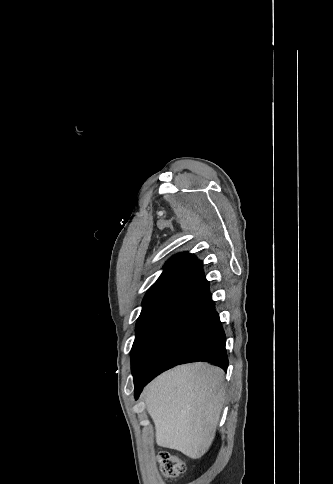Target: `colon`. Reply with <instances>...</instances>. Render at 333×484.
Returning a JSON list of instances; mask_svg holds the SVG:
<instances>
[{"mask_svg": "<svg viewBox=\"0 0 333 484\" xmlns=\"http://www.w3.org/2000/svg\"><path fill=\"white\" fill-rule=\"evenodd\" d=\"M158 462L165 477H178L185 472L186 465L182 459L169 452H161Z\"/></svg>", "mask_w": 333, "mask_h": 484, "instance_id": "1", "label": "colon"}]
</instances>
